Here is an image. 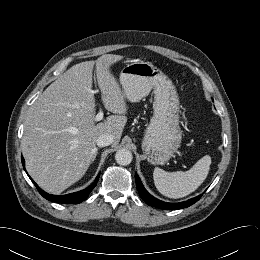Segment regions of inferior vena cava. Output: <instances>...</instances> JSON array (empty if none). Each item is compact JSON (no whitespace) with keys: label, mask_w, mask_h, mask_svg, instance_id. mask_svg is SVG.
I'll use <instances>...</instances> for the list:
<instances>
[{"label":"inferior vena cava","mask_w":260,"mask_h":260,"mask_svg":"<svg viewBox=\"0 0 260 260\" xmlns=\"http://www.w3.org/2000/svg\"><path fill=\"white\" fill-rule=\"evenodd\" d=\"M96 143L98 147L109 146L113 143V136L107 133L102 134L97 138Z\"/></svg>","instance_id":"1"}]
</instances>
